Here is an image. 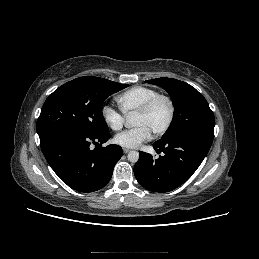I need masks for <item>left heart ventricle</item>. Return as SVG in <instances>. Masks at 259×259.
I'll return each mask as SVG.
<instances>
[{
	"instance_id": "left-heart-ventricle-1",
	"label": "left heart ventricle",
	"mask_w": 259,
	"mask_h": 259,
	"mask_svg": "<svg viewBox=\"0 0 259 259\" xmlns=\"http://www.w3.org/2000/svg\"><path fill=\"white\" fill-rule=\"evenodd\" d=\"M169 116V107L166 101L159 100L146 115L135 114L134 126H146L152 133L162 128Z\"/></svg>"
}]
</instances>
